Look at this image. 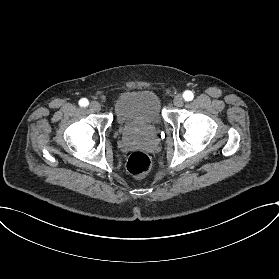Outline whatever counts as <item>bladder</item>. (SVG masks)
<instances>
[{"mask_svg": "<svg viewBox=\"0 0 279 279\" xmlns=\"http://www.w3.org/2000/svg\"><path fill=\"white\" fill-rule=\"evenodd\" d=\"M113 113L122 135L161 129L164 117L160 101L151 90L133 91L121 96L113 106Z\"/></svg>", "mask_w": 279, "mask_h": 279, "instance_id": "bladder-1", "label": "bladder"}]
</instances>
